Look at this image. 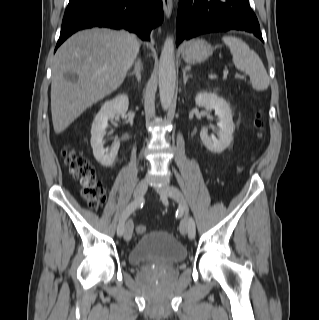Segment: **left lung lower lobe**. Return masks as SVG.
<instances>
[{
	"label": "left lung lower lobe",
	"mask_w": 319,
	"mask_h": 320,
	"mask_svg": "<svg viewBox=\"0 0 319 320\" xmlns=\"http://www.w3.org/2000/svg\"><path fill=\"white\" fill-rule=\"evenodd\" d=\"M231 29L253 33L263 41L249 0H180L177 45L185 38Z\"/></svg>",
	"instance_id": "1"
}]
</instances>
